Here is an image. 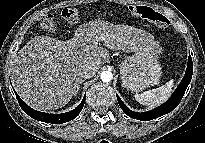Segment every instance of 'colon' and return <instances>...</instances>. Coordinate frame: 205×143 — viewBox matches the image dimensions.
I'll list each match as a JSON object with an SVG mask.
<instances>
[{"label":"colon","mask_w":205,"mask_h":143,"mask_svg":"<svg viewBox=\"0 0 205 143\" xmlns=\"http://www.w3.org/2000/svg\"><path fill=\"white\" fill-rule=\"evenodd\" d=\"M129 11L133 17L147 20L159 27L165 28L170 24L164 15L147 6L134 5ZM61 15L68 23L76 24L79 21L80 9L78 6L67 7L62 10ZM56 25V17L52 13L45 14L40 21V28L46 32L54 31Z\"/></svg>","instance_id":"5ec220e1"}]
</instances>
